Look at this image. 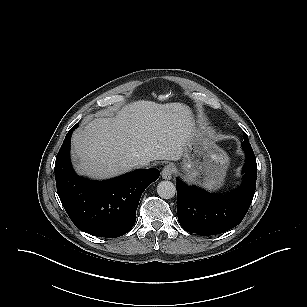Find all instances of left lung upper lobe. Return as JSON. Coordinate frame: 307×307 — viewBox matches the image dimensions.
I'll use <instances>...</instances> for the list:
<instances>
[{
  "mask_svg": "<svg viewBox=\"0 0 307 307\" xmlns=\"http://www.w3.org/2000/svg\"><path fill=\"white\" fill-rule=\"evenodd\" d=\"M245 141L242 143L243 150H252L250 143L248 142V136L247 134L244 135Z\"/></svg>",
  "mask_w": 307,
  "mask_h": 307,
  "instance_id": "left-lung-upper-lobe-1",
  "label": "left lung upper lobe"
}]
</instances>
